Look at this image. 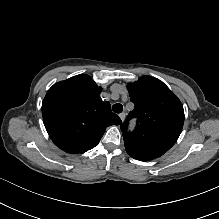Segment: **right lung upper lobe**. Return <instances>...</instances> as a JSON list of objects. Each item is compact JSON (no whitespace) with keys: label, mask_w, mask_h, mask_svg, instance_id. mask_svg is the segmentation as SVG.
Masks as SVG:
<instances>
[{"label":"right lung upper lobe","mask_w":219,"mask_h":219,"mask_svg":"<svg viewBox=\"0 0 219 219\" xmlns=\"http://www.w3.org/2000/svg\"><path fill=\"white\" fill-rule=\"evenodd\" d=\"M101 88L81 74L54 84L42 103L45 128L52 141L68 153H84L94 148L105 129L120 125L109 102L100 98Z\"/></svg>","instance_id":"right-lung-upper-lobe-1"}]
</instances>
